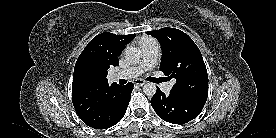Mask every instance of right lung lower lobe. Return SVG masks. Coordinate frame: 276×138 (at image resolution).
I'll return each mask as SVG.
<instances>
[{
	"label": "right lung lower lobe",
	"mask_w": 276,
	"mask_h": 138,
	"mask_svg": "<svg viewBox=\"0 0 276 138\" xmlns=\"http://www.w3.org/2000/svg\"><path fill=\"white\" fill-rule=\"evenodd\" d=\"M133 83L129 82L126 85L120 86L116 91L115 106L108 120L103 124L96 125L92 128L107 129L117 124L125 115L127 106L130 101V96L133 90Z\"/></svg>",
	"instance_id": "98d812e1"
}]
</instances>
